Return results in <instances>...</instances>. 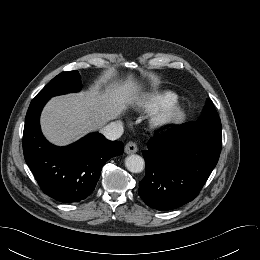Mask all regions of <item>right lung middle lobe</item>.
Returning a JSON list of instances; mask_svg holds the SVG:
<instances>
[{"mask_svg":"<svg viewBox=\"0 0 260 260\" xmlns=\"http://www.w3.org/2000/svg\"><path fill=\"white\" fill-rule=\"evenodd\" d=\"M81 89V80L77 71L62 72L53 78L36 97L51 98L56 95L77 92Z\"/></svg>","mask_w":260,"mask_h":260,"instance_id":"right-lung-middle-lobe-1","label":"right lung middle lobe"}]
</instances>
